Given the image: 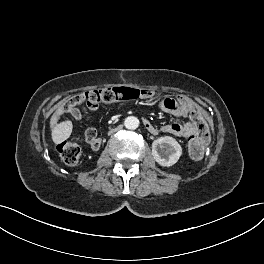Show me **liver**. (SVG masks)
Masks as SVG:
<instances>
[{"instance_id":"liver-1","label":"liver","mask_w":264,"mask_h":264,"mask_svg":"<svg viewBox=\"0 0 264 264\" xmlns=\"http://www.w3.org/2000/svg\"><path fill=\"white\" fill-rule=\"evenodd\" d=\"M72 132V123L69 120L63 121L59 124H56L52 130V140L55 144H60L64 140L68 139Z\"/></svg>"}]
</instances>
